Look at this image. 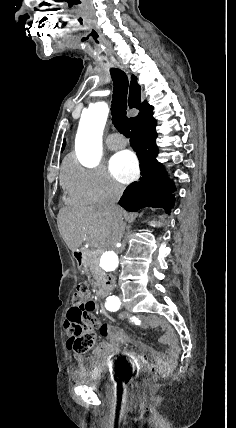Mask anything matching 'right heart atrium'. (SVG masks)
<instances>
[{
    "instance_id": "obj_1",
    "label": "right heart atrium",
    "mask_w": 236,
    "mask_h": 428,
    "mask_svg": "<svg viewBox=\"0 0 236 428\" xmlns=\"http://www.w3.org/2000/svg\"><path fill=\"white\" fill-rule=\"evenodd\" d=\"M71 202L79 206H99L100 200H119L125 188L111 178L104 165L71 163L63 179Z\"/></svg>"
}]
</instances>
